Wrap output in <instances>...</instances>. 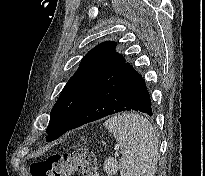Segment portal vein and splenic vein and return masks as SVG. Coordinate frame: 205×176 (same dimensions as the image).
Segmentation results:
<instances>
[{
  "label": "portal vein and splenic vein",
  "mask_w": 205,
  "mask_h": 176,
  "mask_svg": "<svg viewBox=\"0 0 205 176\" xmlns=\"http://www.w3.org/2000/svg\"><path fill=\"white\" fill-rule=\"evenodd\" d=\"M115 154H116V156H118L120 154V152L118 150H116Z\"/></svg>",
  "instance_id": "obj_1"
}]
</instances>
